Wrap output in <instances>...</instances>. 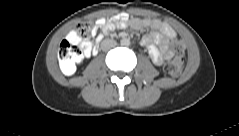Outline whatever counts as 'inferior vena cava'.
I'll return each mask as SVG.
<instances>
[{"label": "inferior vena cava", "instance_id": "obj_1", "mask_svg": "<svg viewBox=\"0 0 239 136\" xmlns=\"http://www.w3.org/2000/svg\"><path fill=\"white\" fill-rule=\"evenodd\" d=\"M117 45V42L113 39H105L101 42V49L103 51H108L111 48H114Z\"/></svg>", "mask_w": 239, "mask_h": 136}]
</instances>
